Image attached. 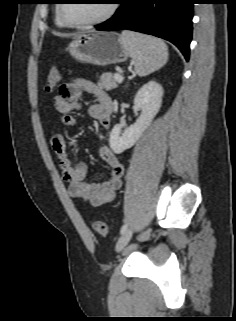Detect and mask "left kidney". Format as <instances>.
<instances>
[{"mask_svg":"<svg viewBox=\"0 0 236 321\" xmlns=\"http://www.w3.org/2000/svg\"><path fill=\"white\" fill-rule=\"evenodd\" d=\"M162 96L163 88L156 81H150L139 89L135 95L134 104L141 110V114L136 122L127 128L122 124H116L113 127L109 145L114 153L120 154L136 143L159 112Z\"/></svg>","mask_w":236,"mask_h":321,"instance_id":"obj_1","label":"left kidney"}]
</instances>
